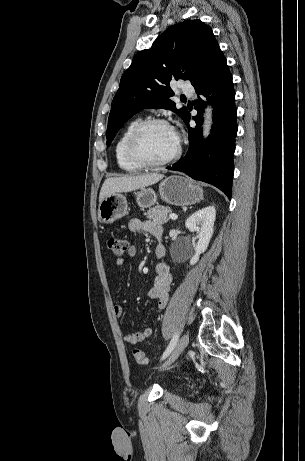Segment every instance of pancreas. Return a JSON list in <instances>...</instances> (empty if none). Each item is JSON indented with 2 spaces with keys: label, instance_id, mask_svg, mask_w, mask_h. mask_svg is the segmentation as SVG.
<instances>
[{
  "label": "pancreas",
  "instance_id": "cf45deb5",
  "mask_svg": "<svg viewBox=\"0 0 305 461\" xmlns=\"http://www.w3.org/2000/svg\"><path fill=\"white\" fill-rule=\"evenodd\" d=\"M171 213L172 211L169 208L158 205L144 212V215L157 224H166L169 221L168 215Z\"/></svg>",
  "mask_w": 305,
  "mask_h": 461
}]
</instances>
